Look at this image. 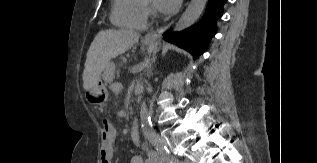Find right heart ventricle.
<instances>
[{
	"label": "right heart ventricle",
	"mask_w": 317,
	"mask_h": 163,
	"mask_svg": "<svg viewBox=\"0 0 317 163\" xmlns=\"http://www.w3.org/2000/svg\"><path fill=\"white\" fill-rule=\"evenodd\" d=\"M111 21L120 28L144 29L147 15L143 0H112Z\"/></svg>",
	"instance_id": "right-heart-ventricle-1"
}]
</instances>
